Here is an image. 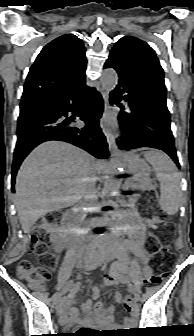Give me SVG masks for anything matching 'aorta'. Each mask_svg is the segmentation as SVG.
I'll return each mask as SVG.
<instances>
[{
  "label": "aorta",
  "mask_w": 194,
  "mask_h": 336,
  "mask_svg": "<svg viewBox=\"0 0 194 336\" xmlns=\"http://www.w3.org/2000/svg\"><path fill=\"white\" fill-rule=\"evenodd\" d=\"M118 83V75L114 69H106L101 75V85L104 90L110 92ZM123 171V166L119 163L114 164L110 169V174L104 184V200L103 205H117L116 198L120 195L121 180L119 175Z\"/></svg>",
  "instance_id": "obj_1"
}]
</instances>
